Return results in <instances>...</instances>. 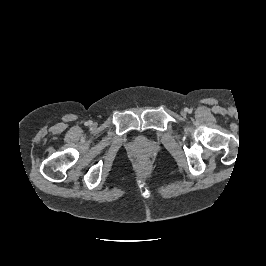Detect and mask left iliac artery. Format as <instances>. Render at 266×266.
<instances>
[{
    "instance_id": "1",
    "label": "left iliac artery",
    "mask_w": 266,
    "mask_h": 266,
    "mask_svg": "<svg viewBox=\"0 0 266 266\" xmlns=\"http://www.w3.org/2000/svg\"><path fill=\"white\" fill-rule=\"evenodd\" d=\"M187 111H188V112H191V110H190V109H188Z\"/></svg>"
}]
</instances>
